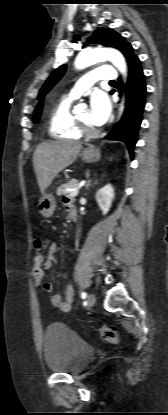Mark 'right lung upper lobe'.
<instances>
[{"label": "right lung upper lobe", "instance_id": "cb5924a9", "mask_svg": "<svg viewBox=\"0 0 168 415\" xmlns=\"http://www.w3.org/2000/svg\"><path fill=\"white\" fill-rule=\"evenodd\" d=\"M42 107H43V104H42V102H40V103L38 104V106H37V108H36V110H35V112H34V113L41 112Z\"/></svg>", "mask_w": 168, "mask_h": 415}]
</instances>
